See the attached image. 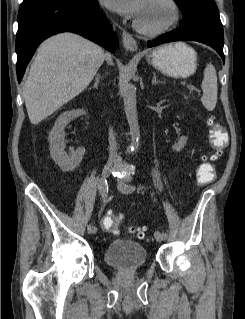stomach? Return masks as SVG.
Masks as SVG:
<instances>
[{
    "label": "stomach",
    "instance_id": "obj_1",
    "mask_svg": "<svg viewBox=\"0 0 245 319\" xmlns=\"http://www.w3.org/2000/svg\"><path fill=\"white\" fill-rule=\"evenodd\" d=\"M145 57L153 67L174 78H187L197 68L196 51L183 42L160 46L147 52Z\"/></svg>",
    "mask_w": 245,
    "mask_h": 319
}]
</instances>
